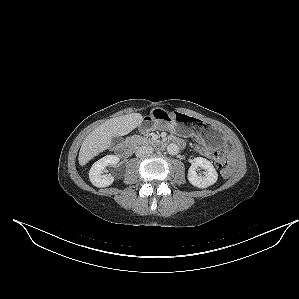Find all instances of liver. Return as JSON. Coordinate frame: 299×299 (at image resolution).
Masks as SVG:
<instances>
[{"label": "liver", "mask_w": 299, "mask_h": 299, "mask_svg": "<svg viewBox=\"0 0 299 299\" xmlns=\"http://www.w3.org/2000/svg\"><path fill=\"white\" fill-rule=\"evenodd\" d=\"M143 121L140 113H131L109 119L95 128L83 141L79 151V164L86 165L92 158L111 146L112 138L124 136Z\"/></svg>", "instance_id": "liver-1"}]
</instances>
